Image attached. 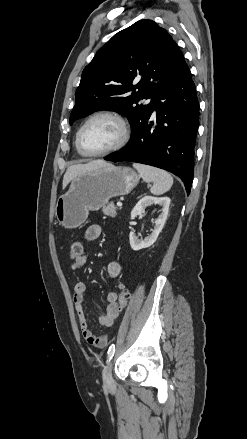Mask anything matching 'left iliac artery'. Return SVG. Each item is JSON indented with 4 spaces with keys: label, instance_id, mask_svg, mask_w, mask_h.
Here are the masks:
<instances>
[{
    "label": "left iliac artery",
    "instance_id": "1",
    "mask_svg": "<svg viewBox=\"0 0 247 439\" xmlns=\"http://www.w3.org/2000/svg\"><path fill=\"white\" fill-rule=\"evenodd\" d=\"M114 353H115V345L112 344V345L109 347V350H108V353H107V361H110V360L113 358Z\"/></svg>",
    "mask_w": 247,
    "mask_h": 439
}]
</instances>
